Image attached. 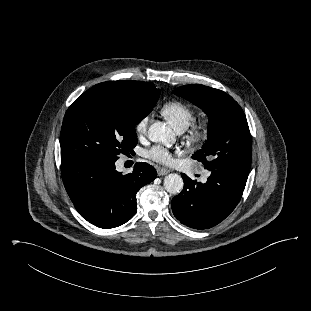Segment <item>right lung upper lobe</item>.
I'll return each mask as SVG.
<instances>
[{
	"instance_id": "cb5924a9",
	"label": "right lung upper lobe",
	"mask_w": 311,
	"mask_h": 311,
	"mask_svg": "<svg viewBox=\"0 0 311 311\" xmlns=\"http://www.w3.org/2000/svg\"><path fill=\"white\" fill-rule=\"evenodd\" d=\"M126 87L133 88L135 90L146 92L151 91L155 88L153 83L150 82H140V81H116Z\"/></svg>"
}]
</instances>
